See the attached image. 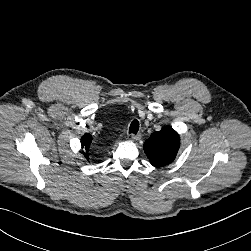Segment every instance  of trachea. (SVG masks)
Segmentation results:
<instances>
[{
	"label": "trachea",
	"instance_id": "trachea-1",
	"mask_svg": "<svg viewBox=\"0 0 251 251\" xmlns=\"http://www.w3.org/2000/svg\"><path fill=\"white\" fill-rule=\"evenodd\" d=\"M139 130V121L134 119L131 124H130V127H129V134H137Z\"/></svg>",
	"mask_w": 251,
	"mask_h": 251
}]
</instances>
